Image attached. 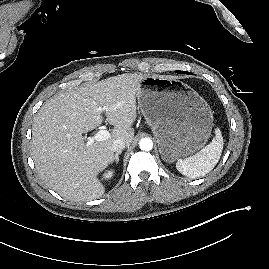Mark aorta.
<instances>
[{
	"mask_svg": "<svg viewBox=\"0 0 269 269\" xmlns=\"http://www.w3.org/2000/svg\"><path fill=\"white\" fill-rule=\"evenodd\" d=\"M139 147L143 151H150L153 148V142L150 138H142L139 142Z\"/></svg>",
	"mask_w": 269,
	"mask_h": 269,
	"instance_id": "1",
	"label": "aorta"
}]
</instances>
